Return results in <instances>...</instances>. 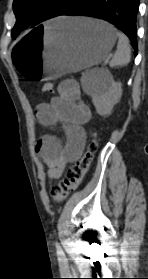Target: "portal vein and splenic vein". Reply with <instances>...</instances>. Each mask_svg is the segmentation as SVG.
<instances>
[{
	"instance_id": "18ae733b",
	"label": "portal vein and splenic vein",
	"mask_w": 148,
	"mask_h": 279,
	"mask_svg": "<svg viewBox=\"0 0 148 279\" xmlns=\"http://www.w3.org/2000/svg\"><path fill=\"white\" fill-rule=\"evenodd\" d=\"M111 57H112V54H109L107 59L104 61V64H106L111 59Z\"/></svg>"
}]
</instances>
